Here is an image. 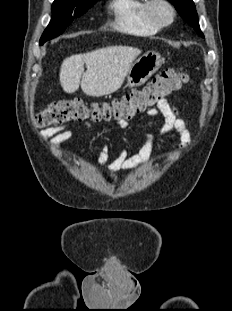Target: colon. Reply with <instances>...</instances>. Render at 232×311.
Masks as SVG:
<instances>
[{
	"instance_id": "1",
	"label": "colon",
	"mask_w": 232,
	"mask_h": 311,
	"mask_svg": "<svg viewBox=\"0 0 232 311\" xmlns=\"http://www.w3.org/2000/svg\"><path fill=\"white\" fill-rule=\"evenodd\" d=\"M189 81L190 76L184 70L167 68L155 75L146 86L134 89L110 103L88 105L80 98L50 103L37 114L36 124L38 127H50L87 119H128L154 107Z\"/></svg>"
}]
</instances>
